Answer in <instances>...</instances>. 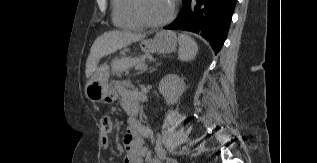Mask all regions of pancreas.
<instances>
[{"label": "pancreas", "mask_w": 317, "mask_h": 163, "mask_svg": "<svg viewBox=\"0 0 317 163\" xmlns=\"http://www.w3.org/2000/svg\"><path fill=\"white\" fill-rule=\"evenodd\" d=\"M145 61V56L115 58L111 63L112 74L121 76L133 67L137 68L139 65H145Z\"/></svg>", "instance_id": "obj_1"}]
</instances>
